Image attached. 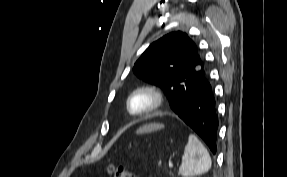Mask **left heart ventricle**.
I'll return each instance as SVG.
<instances>
[{"label":"left heart ventricle","mask_w":287,"mask_h":177,"mask_svg":"<svg viewBox=\"0 0 287 177\" xmlns=\"http://www.w3.org/2000/svg\"><path fill=\"white\" fill-rule=\"evenodd\" d=\"M150 103V98L147 95L140 94L137 95L131 103V109L134 112L141 111L145 109Z\"/></svg>","instance_id":"b2bd125f"}]
</instances>
